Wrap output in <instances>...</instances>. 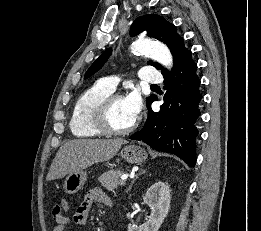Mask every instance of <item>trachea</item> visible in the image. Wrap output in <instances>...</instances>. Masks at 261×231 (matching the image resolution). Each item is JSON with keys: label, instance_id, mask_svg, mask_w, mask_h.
<instances>
[{"label": "trachea", "instance_id": "3493384b", "mask_svg": "<svg viewBox=\"0 0 261 231\" xmlns=\"http://www.w3.org/2000/svg\"><path fill=\"white\" fill-rule=\"evenodd\" d=\"M151 87H158L157 85H155V84H153V85H151Z\"/></svg>", "mask_w": 261, "mask_h": 231}]
</instances>
